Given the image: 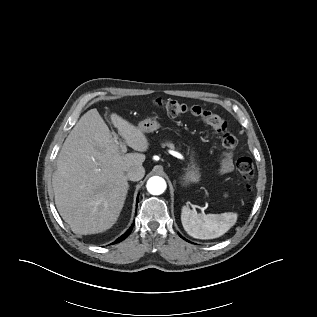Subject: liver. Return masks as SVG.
<instances>
[{"label":"liver","mask_w":317,"mask_h":317,"mask_svg":"<svg viewBox=\"0 0 317 317\" xmlns=\"http://www.w3.org/2000/svg\"><path fill=\"white\" fill-rule=\"evenodd\" d=\"M110 119L129 147L148 149V139L138 127L116 113ZM144 161L141 153L122 155L97 109L80 118L63 143L52 176L56 208L73 233L96 234L115 224L129 187L126 174Z\"/></svg>","instance_id":"liver-1"}]
</instances>
